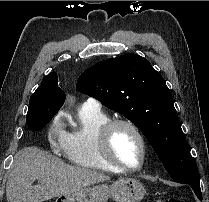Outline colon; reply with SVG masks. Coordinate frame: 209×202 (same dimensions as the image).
Segmentation results:
<instances>
[{
    "mask_svg": "<svg viewBox=\"0 0 209 202\" xmlns=\"http://www.w3.org/2000/svg\"><path fill=\"white\" fill-rule=\"evenodd\" d=\"M156 202H179V201L174 197H167L163 199H158Z\"/></svg>",
    "mask_w": 209,
    "mask_h": 202,
    "instance_id": "1",
    "label": "colon"
}]
</instances>
